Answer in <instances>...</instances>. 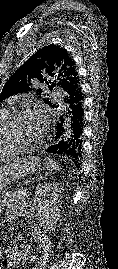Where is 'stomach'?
<instances>
[{
    "label": "stomach",
    "mask_w": 118,
    "mask_h": 269,
    "mask_svg": "<svg viewBox=\"0 0 118 269\" xmlns=\"http://www.w3.org/2000/svg\"><path fill=\"white\" fill-rule=\"evenodd\" d=\"M40 165L38 158L29 156L0 167V193L8 184L33 174Z\"/></svg>",
    "instance_id": "1"
}]
</instances>
